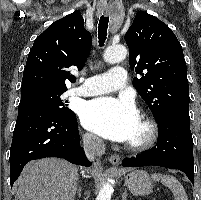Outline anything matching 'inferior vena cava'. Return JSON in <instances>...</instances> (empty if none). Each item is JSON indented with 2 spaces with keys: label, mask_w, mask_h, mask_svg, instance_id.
<instances>
[{
  "label": "inferior vena cava",
  "mask_w": 201,
  "mask_h": 200,
  "mask_svg": "<svg viewBox=\"0 0 201 200\" xmlns=\"http://www.w3.org/2000/svg\"><path fill=\"white\" fill-rule=\"evenodd\" d=\"M83 146L90 157L101 156L105 152V144L102 139L92 134L83 136Z\"/></svg>",
  "instance_id": "obj_1"
}]
</instances>
